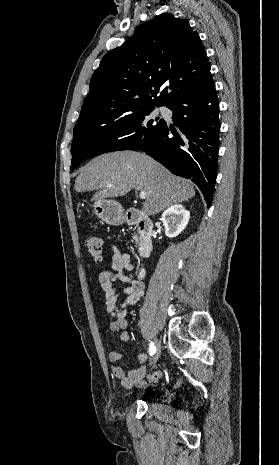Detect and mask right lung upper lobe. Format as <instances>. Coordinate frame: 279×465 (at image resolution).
Wrapping results in <instances>:
<instances>
[{
  "instance_id": "1",
  "label": "right lung upper lobe",
  "mask_w": 279,
  "mask_h": 465,
  "mask_svg": "<svg viewBox=\"0 0 279 465\" xmlns=\"http://www.w3.org/2000/svg\"><path fill=\"white\" fill-rule=\"evenodd\" d=\"M209 78L210 64L197 32L186 20L163 13L102 58L75 126L102 125L167 105Z\"/></svg>"
}]
</instances>
